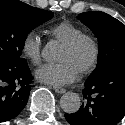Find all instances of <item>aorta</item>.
Segmentation results:
<instances>
[{
	"instance_id": "aorta-1",
	"label": "aorta",
	"mask_w": 125,
	"mask_h": 125,
	"mask_svg": "<svg viewBox=\"0 0 125 125\" xmlns=\"http://www.w3.org/2000/svg\"><path fill=\"white\" fill-rule=\"evenodd\" d=\"M58 47L53 41L48 42L42 50V57L48 61H54L57 57ZM60 106L66 113H75L81 106V99L78 94L67 92L60 99Z\"/></svg>"
}]
</instances>
